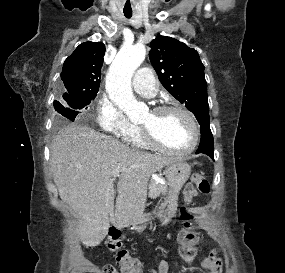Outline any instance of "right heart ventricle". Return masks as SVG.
<instances>
[{"label":"right heart ventricle","instance_id":"right-heart-ventricle-1","mask_svg":"<svg viewBox=\"0 0 285 273\" xmlns=\"http://www.w3.org/2000/svg\"><path fill=\"white\" fill-rule=\"evenodd\" d=\"M125 141L136 148H149L150 146L141 138L140 132L137 129L129 136L124 137Z\"/></svg>","mask_w":285,"mask_h":273}]
</instances>
